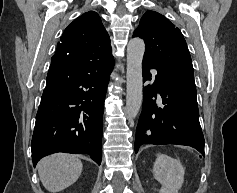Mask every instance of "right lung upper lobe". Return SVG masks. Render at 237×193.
<instances>
[{
  "label": "right lung upper lobe",
  "mask_w": 237,
  "mask_h": 193,
  "mask_svg": "<svg viewBox=\"0 0 237 193\" xmlns=\"http://www.w3.org/2000/svg\"><path fill=\"white\" fill-rule=\"evenodd\" d=\"M56 57L79 65L113 57L109 35L96 12H86L67 26L52 58Z\"/></svg>",
  "instance_id": "1"
}]
</instances>
